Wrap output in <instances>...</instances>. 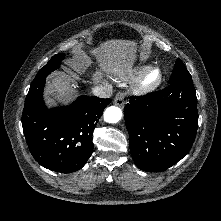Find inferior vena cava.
I'll return each mask as SVG.
<instances>
[{
  "label": "inferior vena cava",
  "mask_w": 221,
  "mask_h": 221,
  "mask_svg": "<svg viewBox=\"0 0 221 221\" xmlns=\"http://www.w3.org/2000/svg\"><path fill=\"white\" fill-rule=\"evenodd\" d=\"M92 93L100 98H109L112 95V85L100 84L92 88Z\"/></svg>",
  "instance_id": "inferior-vena-cava-1"
}]
</instances>
